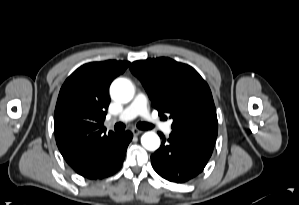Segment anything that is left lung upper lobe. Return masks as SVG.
<instances>
[{
	"mask_svg": "<svg viewBox=\"0 0 299 205\" xmlns=\"http://www.w3.org/2000/svg\"><path fill=\"white\" fill-rule=\"evenodd\" d=\"M130 69L159 115L173 119L172 130L218 131L210 88L194 68L162 57L135 61Z\"/></svg>",
	"mask_w": 299,
	"mask_h": 205,
	"instance_id": "1",
	"label": "left lung upper lobe"
}]
</instances>
